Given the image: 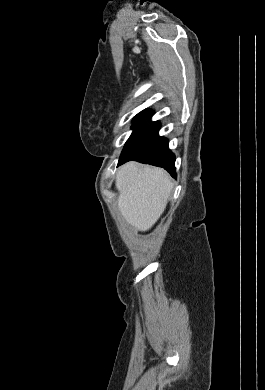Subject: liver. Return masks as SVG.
I'll list each match as a JSON object with an SVG mask.
<instances>
[{"instance_id":"1","label":"liver","mask_w":265,"mask_h":390,"mask_svg":"<svg viewBox=\"0 0 265 390\" xmlns=\"http://www.w3.org/2000/svg\"><path fill=\"white\" fill-rule=\"evenodd\" d=\"M118 208L139 231L149 230L164 212L173 184L162 168L128 162L116 176Z\"/></svg>"}]
</instances>
